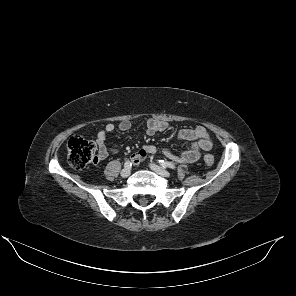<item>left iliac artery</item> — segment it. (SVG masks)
Here are the masks:
<instances>
[{"instance_id": "obj_1", "label": "left iliac artery", "mask_w": 296, "mask_h": 296, "mask_svg": "<svg viewBox=\"0 0 296 296\" xmlns=\"http://www.w3.org/2000/svg\"><path fill=\"white\" fill-rule=\"evenodd\" d=\"M158 163H159L163 168H170V169H173V170L176 169V166H175L173 163H171V162L164 161V160H158Z\"/></svg>"}]
</instances>
